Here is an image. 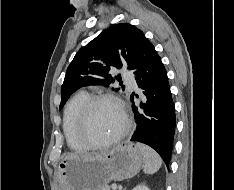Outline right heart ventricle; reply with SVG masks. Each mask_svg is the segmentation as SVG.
<instances>
[{
	"label": "right heart ventricle",
	"mask_w": 234,
	"mask_h": 190,
	"mask_svg": "<svg viewBox=\"0 0 234 190\" xmlns=\"http://www.w3.org/2000/svg\"><path fill=\"white\" fill-rule=\"evenodd\" d=\"M89 95L78 92L67 103L63 117V131L67 145L74 151H85L88 146L79 138L77 132L78 118L81 108Z\"/></svg>",
	"instance_id": "1"
}]
</instances>
